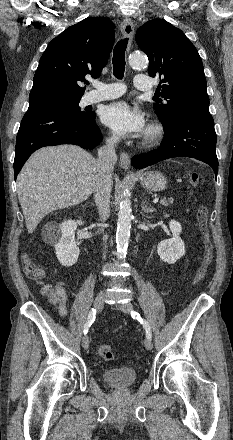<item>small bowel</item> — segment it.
<instances>
[{"instance_id":"small-bowel-1","label":"small bowel","mask_w":233,"mask_h":440,"mask_svg":"<svg viewBox=\"0 0 233 440\" xmlns=\"http://www.w3.org/2000/svg\"><path fill=\"white\" fill-rule=\"evenodd\" d=\"M40 293L55 307L56 312L61 317L67 315L66 302L68 296L65 288L61 284H42Z\"/></svg>"}]
</instances>
